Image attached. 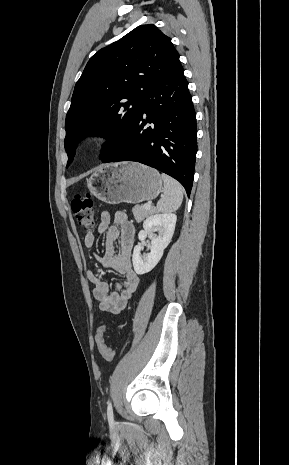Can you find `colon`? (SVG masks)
<instances>
[{"label": "colon", "instance_id": "colon-1", "mask_svg": "<svg viewBox=\"0 0 289 465\" xmlns=\"http://www.w3.org/2000/svg\"><path fill=\"white\" fill-rule=\"evenodd\" d=\"M71 209L78 221V224L86 231H91L95 225L94 200L90 193L76 194L71 201ZM106 326L102 325L97 329L95 340L99 353L106 361L113 358L112 349L106 344L104 334Z\"/></svg>", "mask_w": 289, "mask_h": 465}]
</instances>
